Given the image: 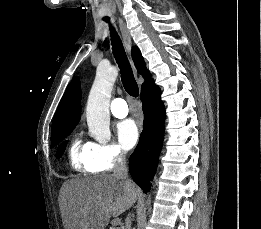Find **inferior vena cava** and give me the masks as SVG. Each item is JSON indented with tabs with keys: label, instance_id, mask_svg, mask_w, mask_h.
<instances>
[{
	"label": "inferior vena cava",
	"instance_id": "inferior-vena-cava-1",
	"mask_svg": "<svg viewBox=\"0 0 261 229\" xmlns=\"http://www.w3.org/2000/svg\"><path fill=\"white\" fill-rule=\"evenodd\" d=\"M113 177H117V179H122L125 185H130L128 181V169L126 167L125 157H118V159H116L114 163ZM131 221V215H128L126 223H128V225H131Z\"/></svg>",
	"mask_w": 261,
	"mask_h": 229
}]
</instances>
